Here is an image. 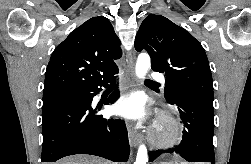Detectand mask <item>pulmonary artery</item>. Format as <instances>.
Returning <instances> with one entry per match:
<instances>
[{
    "mask_svg": "<svg viewBox=\"0 0 251 164\" xmlns=\"http://www.w3.org/2000/svg\"><path fill=\"white\" fill-rule=\"evenodd\" d=\"M152 79L157 80V81H162L163 76L160 73L154 72L151 74Z\"/></svg>",
    "mask_w": 251,
    "mask_h": 164,
    "instance_id": "1",
    "label": "pulmonary artery"
}]
</instances>
